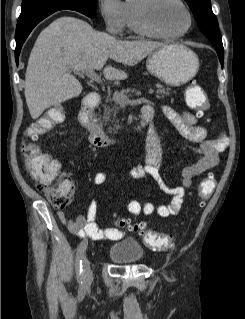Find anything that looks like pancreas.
<instances>
[{
    "label": "pancreas",
    "mask_w": 245,
    "mask_h": 319,
    "mask_svg": "<svg viewBox=\"0 0 245 319\" xmlns=\"http://www.w3.org/2000/svg\"><path fill=\"white\" fill-rule=\"evenodd\" d=\"M156 97L157 98H164L168 95H170V88H165L160 83L156 84ZM137 92V89L135 88H127L122 89L120 94L126 97L132 96L134 93ZM103 106V114L101 115L102 122L109 123L113 122V127L109 126L107 129L109 133H116L119 129H121V126L119 125V121L116 119L117 111L119 110L118 102L116 99L111 96H107L105 99V103Z\"/></svg>",
    "instance_id": "1"
}]
</instances>
